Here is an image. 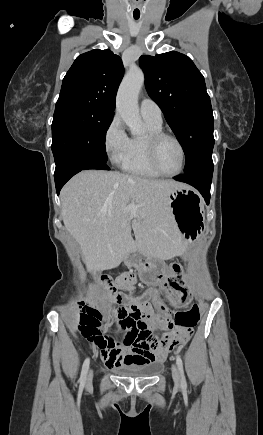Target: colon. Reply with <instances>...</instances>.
Wrapping results in <instances>:
<instances>
[{"instance_id":"5ec220e1","label":"colon","mask_w":263,"mask_h":435,"mask_svg":"<svg viewBox=\"0 0 263 435\" xmlns=\"http://www.w3.org/2000/svg\"><path fill=\"white\" fill-rule=\"evenodd\" d=\"M103 283L109 290L111 299L121 300L126 297L114 289L108 277L103 278ZM199 318L200 309L196 304L175 314L174 322L180 321L183 324L188 321L191 324L188 330L182 327L172 333L176 336V341H179L180 345L187 341ZM103 321L99 311L81 314L80 331L84 337L95 343L98 350H164L169 343L166 337L155 338L154 334L149 332L147 328H126L124 334H120L119 339L114 341L113 338L104 334Z\"/></svg>"}]
</instances>
